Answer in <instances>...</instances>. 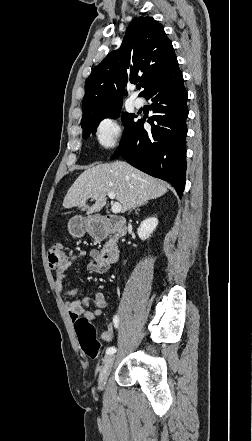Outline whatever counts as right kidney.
Masks as SVG:
<instances>
[{
	"label": "right kidney",
	"instance_id": "1",
	"mask_svg": "<svg viewBox=\"0 0 252 441\" xmlns=\"http://www.w3.org/2000/svg\"><path fill=\"white\" fill-rule=\"evenodd\" d=\"M158 225V219L150 217L144 220L138 228V236L141 240L148 239Z\"/></svg>",
	"mask_w": 252,
	"mask_h": 441
}]
</instances>
